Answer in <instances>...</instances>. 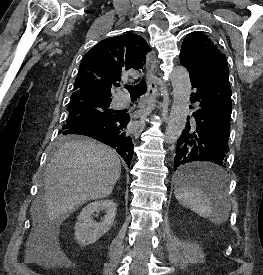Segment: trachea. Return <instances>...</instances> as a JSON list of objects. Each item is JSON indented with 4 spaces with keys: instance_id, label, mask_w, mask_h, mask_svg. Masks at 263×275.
<instances>
[{
    "instance_id": "obj_1",
    "label": "trachea",
    "mask_w": 263,
    "mask_h": 275,
    "mask_svg": "<svg viewBox=\"0 0 263 275\" xmlns=\"http://www.w3.org/2000/svg\"><path fill=\"white\" fill-rule=\"evenodd\" d=\"M125 88L129 91L132 98H138L147 91V84L144 78L134 86L125 85Z\"/></svg>"
}]
</instances>
